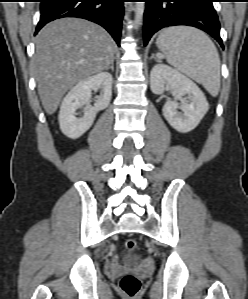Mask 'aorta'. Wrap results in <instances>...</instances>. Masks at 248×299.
<instances>
[{
	"label": "aorta",
	"instance_id": "1",
	"mask_svg": "<svg viewBox=\"0 0 248 299\" xmlns=\"http://www.w3.org/2000/svg\"><path fill=\"white\" fill-rule=\"evenodd\" d=\"M145 11V3L144 2H136L135 5V24L138 27L142 23L143 14Z\"/></svg>",
	"mask_w": 248,
	"mask_h": 299
}]
</instances>
